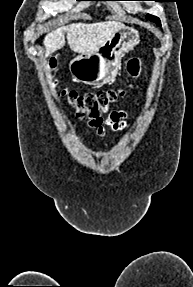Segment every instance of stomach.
Returning <instances> with one entry per match:
<instances>
[{
	"label": "stomach",
	"mask_w": 193,
	"mask_h": 287,
	"mask_svg": "<svg viewBox=\"0 0 193 287\" xmlns=\"http://www.w3.org/2000/svg\"><path fill=\"white\" fill-rule=\"evenodd\" d=\"M140 42L139 33L123 26L104 45L89 54H79L71 60L69 69L77 82L103 85L113 81L120 68L122 57Z\"/></svg>",
	"instance_id": "1"
}]
</instances>
